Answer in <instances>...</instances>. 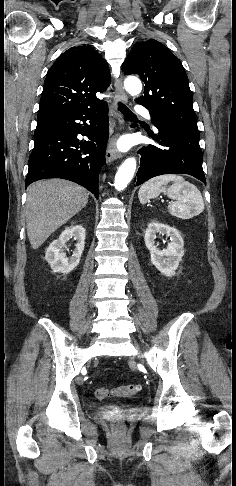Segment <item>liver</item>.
Returning a JSON list of instances; mask_svg holds the SVG:
<instances>
[{
  "mask_svg": "<svg viewBox=\"0 0 236 486\" xmlns=\"http://www.w3.org/2000/svg\"><path fill=\"white\" fill-rule=\"evenodd\" d=\"M87 202V191L67 180L49 179L31 184L27 188L26 227L32 248H39Z\"/></svg>",
  "mask_w": 236,
  "mask_h": 486,
  "instance_id": "1",
  "label": "liver"
}]
</instances>
